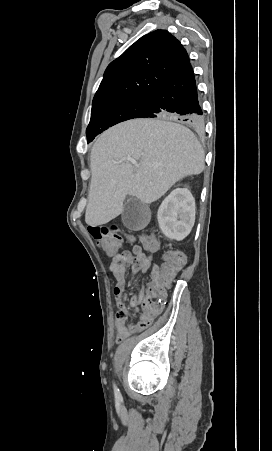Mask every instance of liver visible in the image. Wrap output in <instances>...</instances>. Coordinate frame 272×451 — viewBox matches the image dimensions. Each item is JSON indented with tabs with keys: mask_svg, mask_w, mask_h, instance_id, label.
<instances>
[{
	"mask_svg": "<svg viewBox=\"0 0 272 451\" xmlns=\"http://www.w3.org/2000/svg\"><path fill=\"white\" fill-rule=\"evenodd\" d=\"M176 122L177 116L128 120L97 138L91 152L88 226L108 224L123 214L126 196L152 204L182 178L203 172L200 142ZM125 158L137 160L138 168Z\"/></svg>",
	"mask_w": 272,
	"mask_h": 451,
	"instance_id": "liver-1",
	"label": "liver"
}]
</instances>
